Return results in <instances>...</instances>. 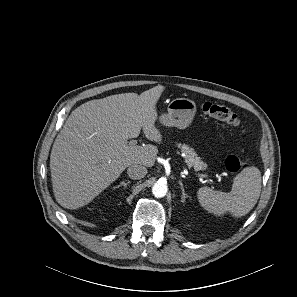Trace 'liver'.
<instances>
[{"mask_svg": "<svg viewBox=\"0 0 297 297\" xmlns=\"http://www.w3.org/2000/svg\"><path fill=\"white\" fill-rule=\"evenodd\" d=\"M164 90L158 85L140 95H111L72 111L50 155L53 192L62 207L87 205L131 165H154L157 147L129 146L128 139L142 130L148 140L161 143L156 104Z\"/></svg>", "mask_w": 297, "mask_h": 297, "instance_id": "1", "label": "liver"}]
</instances>
